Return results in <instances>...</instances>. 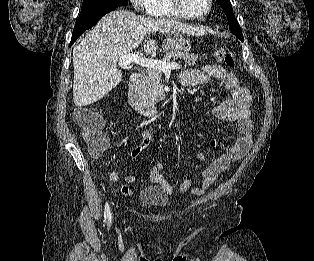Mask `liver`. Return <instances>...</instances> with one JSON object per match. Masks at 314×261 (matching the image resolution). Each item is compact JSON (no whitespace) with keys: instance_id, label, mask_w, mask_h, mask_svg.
Here are the masks:
<instances>
[{"instance_id":"6515ba94","label":"liver","mask_w":314,"mask_h":261,"mask_svg":"<svg viewBox=\"0 0 314 261\" xmlns=\"http://www.w3.org/2000/svg\"><path fill=\"white\" fill-rule=\"evenodd\" d=\"M195 35L196 28L169 19H150L125 10L106 14L73 49V100L87 106L106 96L122 80L116 59L137 49L150 33ZM158 48L154 40L144 46L151 54Z\"/></svg>"}]
</instances>
